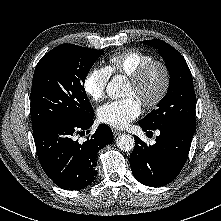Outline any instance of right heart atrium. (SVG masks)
Returning <instances> with one entry per match:
<instances>
[{
	"label": "right heart atrium",
	"instance_id": "right-heart-atrium-1",
	"mask_svg": "<svg viewBox=\"0 0 221 221\" xmlns=\"http://www.w3.org/2000/svg\"><path fill=\"white\" fill-rule=\"evenodd\" d=\"M110 75L108 67L95 65L89 69L84 79L83 89L92 101L99 102L105 97Z\"/></svg>",
	"mask_w": 221,
	"mask_h": 221
}]
</instances>
